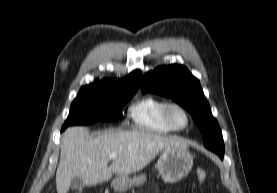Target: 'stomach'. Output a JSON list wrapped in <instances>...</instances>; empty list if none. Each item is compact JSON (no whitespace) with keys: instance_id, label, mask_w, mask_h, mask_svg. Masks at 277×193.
<instances>
[{"instance_id":"1","label":"stomach","mask_w":277,"mask_h":193,"mask_svg":"<svg viewBox=\"0 0 277 193\" xmlns=\"http://www.w3.org/2000/svg\"><path fill=\"white\" fill-rule=\"evenodd\" d=\"M193 166V157L187 148L164 149L158 160V171L162 179L175 183L188 175ZM146 180L145 175L134 177L117 175L112 181V187L119 193H124L133 186H139Z\"/></svg>"}]
</instances>
